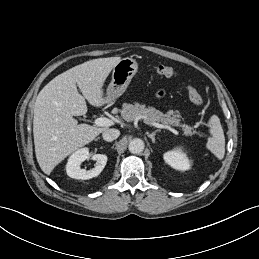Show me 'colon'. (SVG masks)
Segmentation results:
<instances>
[{"instance_id":"obj_1","label":"colon","mask_w":259,"mask_h":259,"mask_svg":"<svg viewBox=\"0 0 259 259\" xmlns=\"http://www.w3.org/2000/svg\"><path fill=\"white\" fill-rule=\"evenodd\" d=\"M154 70L158 75L163 77H172L176 74L174 68L164 64H157L154 67ZM187 93L192 103L199 107L204 106V99L196 87L189 85L187 88Z\"/></svg>"}]
</instances>
